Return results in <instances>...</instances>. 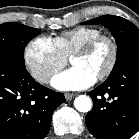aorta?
Masks as SVG:
<instances>
[{"mask_svg":"<svg viewBox=\"0 0 139 139\" xmlns=\"http://www.w3.org/2000/svg\"><path fill=\"white\" fill-rule=\"evenodd\" d=\"M74 106L79 112H89L92 109V100L87 95H79L74 100Z\"/></svg>","mask_w":139,"mask_h":139,"instance_id":"aorta-1","label":"aorta"}]
</instances>
